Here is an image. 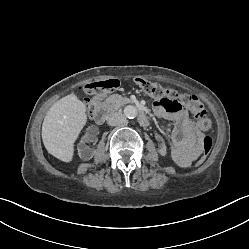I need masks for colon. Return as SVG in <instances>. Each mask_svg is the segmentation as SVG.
Masks as SVG:
<instances>
[{"mask_svg": "<svg viewBox=\"0 0 249 249\" xmlns=\"http://www.w3.org/2000/svg\"><path fill=\"white\" fill-rule=\"evenodd\" d=\"M134 84L147 95L163 101L166 108L169 109V101L176 99V94L169 87L138 77L134 79ZM118 86L116 79H108L105 81L92 82L84 87V90L90 96L87 100V111L93 114L101 100V98L109 91ZM178 99L187 105L195 115L196 122L200 129L209 131L212 128V119L204 106L200 103L197 97L189 95H180ZM213 145L211 137L206 136L202 142V148L199 158H205L210 152Z\"/></svg>", "mask_w": 249, "mask_h": 249, "instance_id": "5ec220e1", "label": "colon"}]
</instances>
